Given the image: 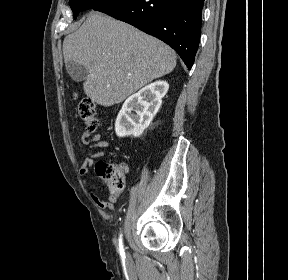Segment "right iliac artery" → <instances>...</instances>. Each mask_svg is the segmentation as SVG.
<instances>
[{
  "mask_svg": "<svg viewBox=\"0 0 288 280\" xmlns=\"http://www.w3.org/2000/svg\"><path fill=\"white\" fill-rule=\"evenodd\" d=\"M119 252L120 255H125V251H124V246H123V242H122V234H120L119 236Z\"/></svg>",
  "mask_w": 288,
  "mask_h": 280,
  "instance_id": "right-iliac-artery-1",
  "label": "right iliac artery"
}]
</instances>
